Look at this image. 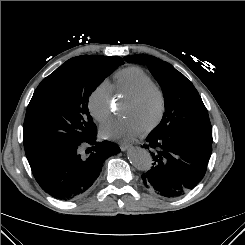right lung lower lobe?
I'll return each mask as SVG.
<instances>
[{
  "instance_id": "right-lung-lower-lobe-1",
  "label": "right lung lower lobe",
  "mask_w": 245,
  "mask_h": 245,
  "mask_svg": "<svg viewBox=\"0 0 245 245\" xmlns=\"http://www.w3.org/2000/svg\"><path fill=\"white\" fill-rule=\"evenodd\" d=\"M96 135L79 145L42 156L30 164L37 183L46 193L68 200L88 191L99 176L105 159L120 152V148L112 142H96ZM83 149H86L87 156L82 154Z\"/></svg>"
}]
</instances>
